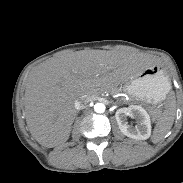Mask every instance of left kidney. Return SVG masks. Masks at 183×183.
<instances>
[{
    "label": "left kidney",
    "instance_id": "1",
    "mask_svg": "<svg viewBox=\"0 0 183 183\" xmlns=\"http://www.w3.org/2000/svg\"><path fill=\"white\" fill-rule=\"evenodd\" d=\"M127 116L135 118L137 125L133 127L127 122ZM116 121L119 129L127 137L146 140L151 135V121L147 111L138 105H131L129 107H123L116 111Z\"/></svg>",
    "mask_w": 183,
    "mask_h": 183
}]
</instances>
